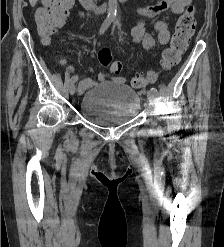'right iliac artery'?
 I'll list each match as a JSON object with an SVG mask.
<instances>
[{"mask_svg": "<svg viewBox=\"0 0 224 247\" xmlns=\"http://www.w3.org/2000/svg\"><path fill=\"white\" fill-rule=\"evenodd\" d=\"M110 23H111V20L110 19H106L103 22V24H102V26L100 28V31H99L100 35L103 34L106 31V29L109 27ZM77 80H78V76L75 75V76H73L71 78V83H75Z\"/></svg>", "mask_w": 224, "mask_h": 247, "instance_id": "1", "label": "right iliac artery"}]
</instances>
